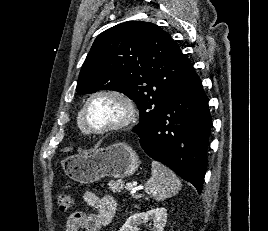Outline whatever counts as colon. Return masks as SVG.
Returning a JSON list of instances; mask_svg holds the SVG:
<instances>
[{
    "mask_svg": "<svg viewBox=\"0 0 268 231\" xmlns=\"http://www.w3.org/2000/svg\"><path fill=\"white\" fill-rule=\"evenodd\" d=\"M76 199L73 194L67 192H60L57 196V204L59 211L68 213L74 207Z\"/></svg>",
    "mask_w": 268,
    "mask_h": 231,
    "instance_id": "5ec220e1",
    "label": "colon"
}]
</instances>
